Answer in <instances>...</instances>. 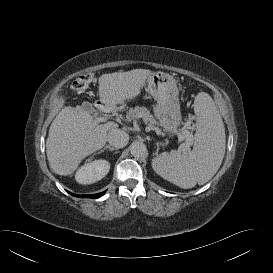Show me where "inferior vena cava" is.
<instances>
[{
	"label": "inferior vena cava",
	"instance_id": "obj_1",
	"mask_svg": "<svg viewBox=\"0 0 273 273\" xmlns=\"http://www.w3.org/2000/svg\"><path fill=\"white\" fill-rule=\"evenodd\" d=\"M107 141L117 149L123 148L128 144L129 135L120 129H112L108 132Z\"/></svg>",
	"mask_w": 273,
	"mask_h": 273
}]
</instances>
